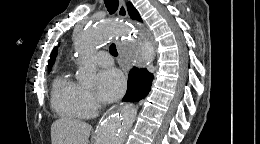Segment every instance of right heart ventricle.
<instances>
[{
	"label": "right heart ventricle",
	"mask_w": 260,
	"mask_h": 144,
	"mask_svg": "<svg viewBox=\"0 0 260 144\" xmlns=\"http://www.w3.org/2000/svg\"><path fill=\"white\" fill-rule=\"evenodd\" d=\"M81 85L62 74L55 78L52 87V106L64 118L75 119L84 117L80 105Z\"/></svg>",
	"instance_id": "1"
}]
</instances>
